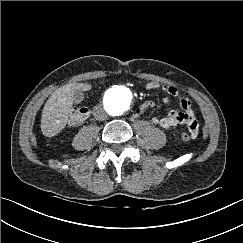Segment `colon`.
Returning a JSON list of instances; mask_svg holds the SVG:
<instances>
[{
    "label": "colon",
    "instance_id": "obj_1",
    "mask_svg": "<svg viewBox=\"0 0 243 243\" xmlns=\"http://www.w3.org/2000/svg\"><path fill=\"white\" fill-rule=\"evenodd\" d=\"M89 109L87 107H73L70 116H69V124L71 126H77L82 124L89 116ZM181 138L184 141H189L193 139L192 135L189 132H183L181 134Z\"/></svg>",
    "mask_w": 243,
    "mask_h": 243
}]
</instances>
